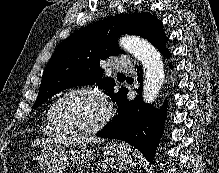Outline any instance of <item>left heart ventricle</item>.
I'll use <instances>...</instances> for the list:
<instances>
[{"instance_id":"1","label":"left heart ventricle","mask_w":219,"mask_h":173,"mask_svg":"<svg viewBox=\"0 0 219 173\" xmlns=\"http://www.w3.org/2000/svg\"><path fill=\"white\" fill-rule=\"evenodd\" d=\"M105 113L103 103L94 95L77 93L61 105V119L73 130H85L97 124Z\"/></svg>"}]
</instances>
